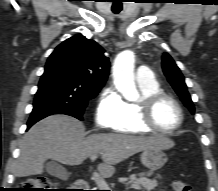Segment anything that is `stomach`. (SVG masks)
Here are the masks:
<instances>
[{"label":"stomach","instance_id":"0dacf381","mask_svg":"<svg viewBox=\"0 0 218 191\" xmlns=\"http://www.w3.org/2000/svg\"><path fill=\"white\" fill-rule=\"evenodd\" d=\"M167 160V155L162 149L150 148L144 150L141 154L142 164L150 171H156L162 168Z\"/></svg>","mask_w":218,"mask_h":191}]
</instances>
